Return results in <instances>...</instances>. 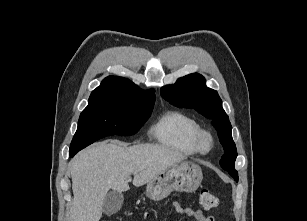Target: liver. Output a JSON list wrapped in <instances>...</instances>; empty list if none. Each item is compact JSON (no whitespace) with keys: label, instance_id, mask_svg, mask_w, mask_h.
<instances>
[{"label":"liver","instance_id":"liver-1","mask_svg":"<svg viewBox=\"0 0 307 221\" xmlns=\"http://www.w3.org/2000/svg\"><path fill=\"white\" fill-rule=\"evenodd\" d=\"M180 152L155 144L126 146L119 142L93 144L70 162L74 200L70 221H99L105 195L129 190L128 179L140 187L168 167L185 160Z\"/></svg>","mask_w":307,"mask_h":221}]
</instances>
